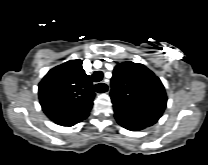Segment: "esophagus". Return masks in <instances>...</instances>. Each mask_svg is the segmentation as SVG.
<instances>
[{"instance_id":"esophagus-1","label":"esophagus","mask_w":208,"mask_h":165,"mask_svg":"<svg viewBox=\"0 0 208 165\" xmlns=\"http://www.w3.org/2000/svg\"><path fill=\"white\" fill-rule=\"evenodd\" d=\"M101 85H103V86H105L106 88H107V90H106V92L105 93H109V90H110V86H109V84L108 83H106V82H101L100 83ZM95 87V86H94Z\"/></svg>"}]
</instances>
